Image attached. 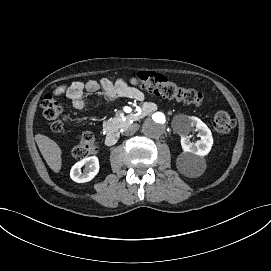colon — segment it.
Segmentation results:
<instances>
[{"mask_svg":"<svg viewBox=\"0 0 271 271\" xmlns=\"http://www.w3.org/2000/svg\"><path fill=\"white\" fill-rule=\"evenodd\" d=\"M140 87L164 98L183 102L186 104L199 105L203 101V94L195 89L187 88L169 81L161 74L141 71L132 75V79ZM44 116L51 121V129L55 132H66V118L58 101L47 94L41 101ZM235 118L226 111H218L213 118V127L218 134H226L235 127ZM98 145L91 133L82 135L81 140L72 149V156L83 159L97 154Z\"/></svg>","mask_w":271,"mask_h":271,"instance_id":"5ec220e1","label":"colon"}]
</instances>
